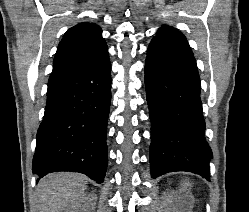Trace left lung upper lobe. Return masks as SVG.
I'll use <instances>...</instances> for the list:
<instances>
[{"label": "left lung upper lobe", "mask_w": 249, "mask_h": 212, "mask_svg": "<svg viewBox=\"0 0 249 212\" xmlns=\"http://www.w3.org/2000/svg\"><path fill=\"white\" fill-rule=\"evenodd\" d=\"M154 43H160L170 47L173 50L193 56L185 36L175 28L169 26L161 27L157 31L156 36L152 39L150 45Z\"/></svg>", "instance_id": "obj_1"}]
</instances>
